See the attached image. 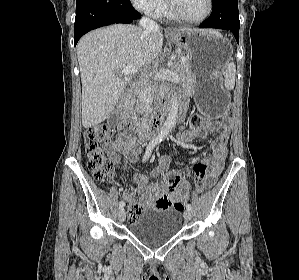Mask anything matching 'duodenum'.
Returning a JSON list of instances; mask_svg holds the SVG:
<instances>
[{
    "label": "duodenum",
    "mask_w": 299,
    "mask_h": 280,
    "mask_svg": "<svg viewBox=\"0 0 299 280\" xmlns=\"http://www.w3.org/2000/svg\"><path fill=\"white\" fill-rule=\"evenodd\" d=\"M134 93L128 91L124 94L123 99L119 105V126L123 132L128 133L134 139L144 140L151 138L160 130L161 124L168 110L171 107L170 100H163L158 107L156 114L146 124L140 125L132 118V101ZM183 110V104L179 106V116Z\"/></svg>",
    "instance_id": "1"
}]
</instances>
